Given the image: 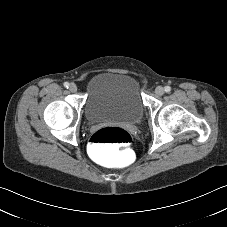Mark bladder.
Listing matches in <instances>:
<instances>
[{
  "label": "bladder",
  "instance_id": "bladder-1",
  "mask_svg": "<svg viewBox=\"0 0 227 227\" xmlns=\"http://www.w3.org/2000/svg\"><path fill=\"white\" fill-rule=\"evenodd\" d=\"M85 118L90 123L136 124L144 115L139 79L125 72H102L86 84Z\"/></svg>",
  "mask_w": 227,
  "mask_h": 227
}]
</instances>
